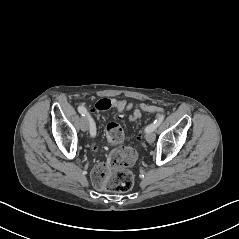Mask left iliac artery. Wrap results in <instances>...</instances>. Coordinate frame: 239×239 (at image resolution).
Wrapping results in <instances>:
<instances>
[{"label":"left iliac artery","instance_id":"left-iliac-artery-1","mask_svg":"<svg viewBox=\"0 0 239 239\" xmlns=\"http://www.w3.org/2000/svg\"><path fill=\"white\" fill-rule=\"evenodd\" d=\"M164 117H165L164 115H160L152 124H150L149 126L146 127L145 132L149 133V132H153L155 129H157V127L164 120Z\"/></svg>","mask_w":239,"mask_h":239}]
</instances>
